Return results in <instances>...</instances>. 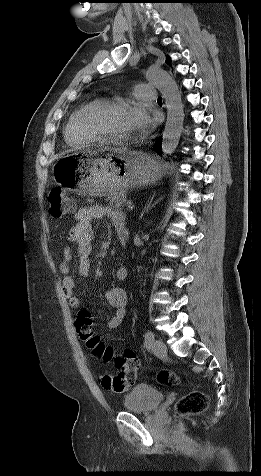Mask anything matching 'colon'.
<instances>
[{
    "label": "colon",
    "mask_w": 261,
    "mask_h": 476,
    "mask_svg": "<svg viewBox=\"0 0 261 476\" xmlns=\"http://www.w3.org/2000/svg\"><path fill=\"white\" fill-rule=\"evenodd\" d=\"M48 200L49 211L53 217L61 218L74 210L72 198L67 195L61 186L51 189ZM92 325L91 313L86 309L79 311L75 326L81 340L96 356L103 358L105 361H113L119 370L116 375H101L102 387L115 393H123L133 385L136 379L140 365L139 359L132 350H125L121 354H116L94 333ZM159 381L164 385L172 386L176 385L179 379L174 372L163 370L159 374ZM207 406L208 397L206 394L200 391H191L179 399L175 411L179 416L194 415L204 411Z\"/></svg>",
    "instance_id": "5ec220e1"
}]
</instances>
